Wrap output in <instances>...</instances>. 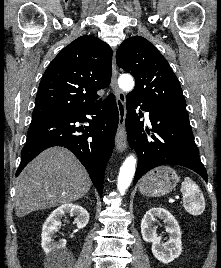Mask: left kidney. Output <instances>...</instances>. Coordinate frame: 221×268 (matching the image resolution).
I'll return each instance as SVG.
<instances>
[{
	"label": "left kidney",
	"mask_w": 221,
	"mask_h": 268,
	"mask_svg": "<svg viewBox=\"0 0 221 268\" xmlns=\"http://www.w3.org/2000/svg\"><path fill=\"white\" fill-rule=\"evenodd\" d=\"M157 217L166 223L165 230L169 233V239L165 243L153 228V222ZM141 234L144 241L152 243V253L159 261L167 264L180 256L182 251L180 227L175 217L166 209L158 207L149 209L141 221Z\"/></svg>",
	"instance_id": "5707ae66"
}]
</instances>
